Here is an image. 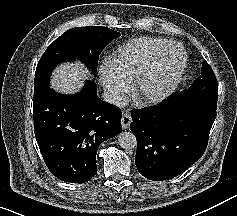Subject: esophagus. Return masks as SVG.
Listing matches in <instances>:
<instances>
[{"instance_id": "1", "label": "esophagus", "mask_w": 237, "mask_h": 216, "mask_svg": "<svg viewBox=\"0 0 237 216\" xmlns=\"http://www.w3.org/2000/svg\"><path fill=\"white\" fill-rule=\"evenodd\" d=\"M122 127L123 129H128L131 123V116L128 112H123L122 114Z\"/></svg>"}]
</instances>
